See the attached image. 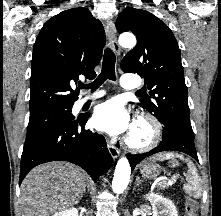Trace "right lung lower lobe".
I'll use <instances>...</instances> for the list:
<instances>
[{"label": "right lung lower lobe", "mask_w": 221, "mask_h": 216, "mask_svg": "<svg viewBox=\"0 0 221 216\" xmlns=\"http://www.w3.org/2000/svg\"><path fill=\"white\" fill-rule=\"evenodd\" d=\"M88 116H78L54 127L24 145L20 163L19 185L35 166L50 161H68L82 167L93 180L113 164L105 138L85 130Z\"/></svg>", "instance_id": "right-lung-lower-lobe-1"}]
</instances>
